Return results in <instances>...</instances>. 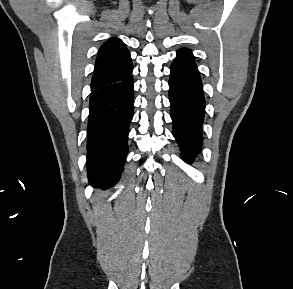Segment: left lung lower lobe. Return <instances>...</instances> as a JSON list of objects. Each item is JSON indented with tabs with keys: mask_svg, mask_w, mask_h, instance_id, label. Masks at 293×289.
Returning <instances> with one entry per match:
<instances>
[{
	"mask_svg": "<svg viewBox=\"0 0 293 289\" xmlns=\"http://www.w3.org/2000/svg\"><path fill=\"white\" fill-rule=\"evenodd\" d=\"M169 79L173 135L183 159L190 162L202 145L205 99L199 71L190 51H178Z\"/></svg>",
	"mask_w": 293,
	"mask_h": 289,
	"instance_id": "1",
	"label": "left lung lower lobe"
}]
</instances>
